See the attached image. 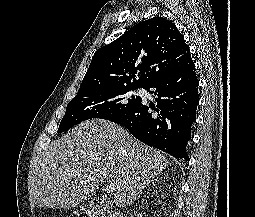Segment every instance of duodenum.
I'll return each instance as SVG.
<instances>
[{
    "label": "duodenum",
    "mask_w": 255,
    "mask_h": 217,
    "mask_svg": "<svg viewBox=\"0 0 255 217\" xmlns=\"http://www.w3.org/2000/svg\"><path fill=\"white\" fill-rule=\"evenodd\" d=\"M89 217H123L117 210L103 211V210H88Z\"/></svg>",
    "instance_id": "410a0bca"
}]
</instances>
